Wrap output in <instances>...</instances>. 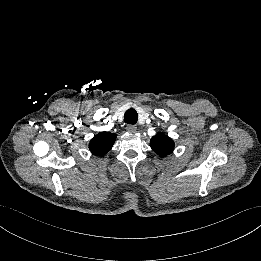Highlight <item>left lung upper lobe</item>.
<instances>
[{
    "label": "left lung upper lobe",
    "instance_id": "1",
    "mask_svg": "<svg viewBox=\"0 0 261 261\" xmlns=\"http://www.w3.org/2000/svg\"><path fill=\"white\" fill-rule=\"evenodd\" d=\"M150 146L158 155L165 157L173 152L174 141L164 133L159 132L151 138Z\"/></svg>",
    "mask_w": 261,
    "mask_h": 261
}]
</instances>
